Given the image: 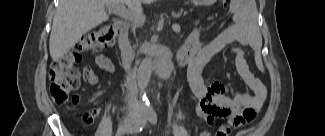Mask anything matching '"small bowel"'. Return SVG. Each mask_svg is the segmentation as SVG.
<instances>
[{
  "label": "small bowel",
  "mask_w": 325,
  "mask_h": 136,
  "mask_svg": "<svg viewBox=\"0 0 325 136\" xmlns=\"http://www.w3.org/2000/svg\"><path fill=\"white\" fill-rule=\"evenodd\" d=\"M187 42L196 49L187 75L195 100L196 113L207 125H213L216 119H225L226 124L217 131L223 133L222 136H228L231 128H241L253 122L267 98V89L263 82L250 71L245 61L243 46L253 45V35L245 27L244 22L239 20L208 40L204 39L201 31H195ZM228 46H232L231 52L234 55L238 75L253 94L239 92L225 82L212 85L204 84L201 77L203 65ZM67 54L73 55L72 57L77 63H85V58L78 53L77 48H68ZM68 61L71 63L73 60L70 58ZM95 64L107 73L115 71L114 64L104 54L96 56ZM71 65L74 67L76 64L73 62ZM84 80L91 85L98 82V77L92 68L84 69ZM74 99L75 103L79 101L77 96ZM99 113V108L90 109L84 113L83 120L87 123L91 122Z\"/></svg>",
  "instance_id": "small-bowel-1"
}]
</instances>
